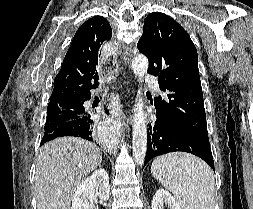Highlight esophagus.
Listing matches in <instances>:
<instances>
[{
	"label": "esophagus",
	"instance_id": "esophagus-1",
	"mask_svg": "<svg viewBox=\"0 0 253 209\" xmlns=\"http://www.w3.org/2000/svg\"><path fill=\"white\" fill-rule=\"evenodd\" d=\"M105 116L109 123H112L114 126H120L123 118L120 103L118 101L111 102V105L106 109Z\"/></svg>",
	"mask_w": 253,
	"mask_h": 209
}]
</instances>
